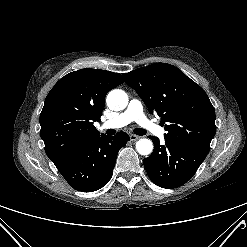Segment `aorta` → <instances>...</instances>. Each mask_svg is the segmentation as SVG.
Masks as SVG:
<instances>
[{"instance_id":"aorta-1","label":"aorta","mask_w":247,"mask_h":247,"mask_svg":"<svg viewBox=\"0 0 247 247\" xmlns=\"http://www.w3.org/2000/svg\"><path fill=\"white\" fill-rule=\"evenodd\" d=\"M107 106L115 111L126 108L128 104V95L120 89L110 91L106 98ZM136 150L141 155H149L153 151V143L149 139H140L136 143Z\"/></svg>"}]
</instances>
